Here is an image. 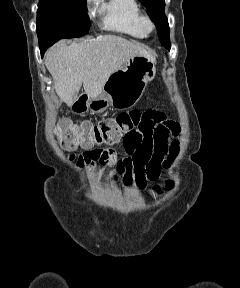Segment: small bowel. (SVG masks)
<instances>
[{
    "instance_id": "c3829d8e",
    "label": "small bowel",
    "mask_w": 240,
    "mask_h": 288,
    "mask_svg": "<svg viewBox=\"0 0 240 288\" xmlns=\"http://www.w3.org/2000/svg\"><path fill=\"white\" fill-rule=\"evenodd\" d=\"M180 133L179 125L168 119L159 110H146L137 130L123 138L127 156L118 159L114 149L83 147L85 151L77 156L71 152L70 162L76 161L77 169H86L91 173L96 163L115 164L117 174H124V181L130 184L133 180L144 187L148 180L158 179L163 167L167 168L178 153V142L170 141V136Z\"/></svg>"
}]
</instances>
